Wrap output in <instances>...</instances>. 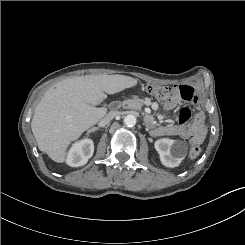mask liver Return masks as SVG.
<instances>
[{"label": "liver", "mask_w": 245, "mask_h": 245, "mask_svg": "<svg viewBox=\"0 0 245 245\" xmlns=\"http://www.w3.org/2000/svg\"><path fill=\"white\" fill-rule=\"evenodd\" d=\"M137 83L136 78L119 74L78 76L56 83L45 92L32 118L38 148L56 162L66 161L69 145L106 115V108L95 105L107 94Z\"/></svg>", "instance_id": "liver-1"}]
</instances>
